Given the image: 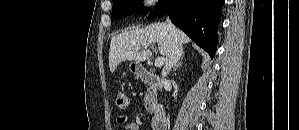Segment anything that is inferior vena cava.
Segmentation results:
<instances>
[{
  "instance_id": "inferior-vena-cava-1",
  "label": "inferior vena cava",
  "mask_w": 299,
  "mask_h": 130,
  "mask_svg": "<svg viewBox=\"0 0 299 130\" xmlns=\"http://www.w3.org/2000/svg\"><path fill=\"white\" fill-rule=\"evenodd\" d=\"M167 27L170 31V36L172 39L171 51L165 61V66L162 70V76L165 78L171 68L177 63L183 53L182 44L178 37V32L175 26L171 23L169 18H167Z\"/></svg>"
}]
</instances>
